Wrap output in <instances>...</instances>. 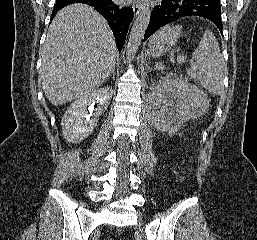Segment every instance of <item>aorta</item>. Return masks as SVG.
Here are the masks:
<instances>
[{"mask_svg": "<svg viewBox=\"0 0 257 240\" xmlns=\"http://www.w3.org/2000/svg\"><path fill=\"white\" fill-rule=\"evenodd\" d=\"M151 10L150 8L144 7L138 17L136 18L129 37V41L127 44V59L132 60L138 50V47L144 37L147 26L150 22Z\"/></svg>", "mask_w": 257, "mask_h": 240, "instance_id": "1", "label": "aorta"}]
</instances>
